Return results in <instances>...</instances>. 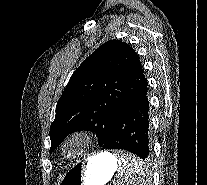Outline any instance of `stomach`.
I'll list each match as a JSON object with an SVG mask.
<instances>
[{
	"instance_id": "stomach-1",
	"label": "stomach",
	"mask_w": 207,
	"mask_h": 185,
	"mask_svg": "<svg viewBox=\"0 0 207 185\" xmlns=\"http://www.w3.org/2000/svg\"><path fill=\"white\" fill-rule=\"evenodd\" d=\"M117 169L114 155L102 152L71 167L58 185H105Z\"/></svg>"
}]
</instances>
